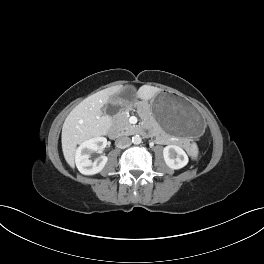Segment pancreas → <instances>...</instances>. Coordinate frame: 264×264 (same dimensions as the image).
I'll return each mask as SVG.
<instances>
[{
	"instance_id": "obj_1",
	"label": "pancreas",
	"mask_w": 264,
	"mask_h": 264,
	"mask_svg": "<svg viewBox=\"0 0 264 264\" xmlns=\"http://www.w3.org/2000/svg\"><path fill=\"white\" fill-rule=\"evenodd\" d=\"M114 125L124 133H131L135 127L129 123L127 111H122L114 117Z\"/></svg>"
}]
</instances>
